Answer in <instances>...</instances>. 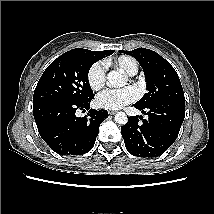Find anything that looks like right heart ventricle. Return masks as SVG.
<instances>
[{
	"label": "right heart ventricle",
	"mask_w": 214,
	"mask_h": 214,
	"mask_svg": "<svg viewBox=\"0 0 214 214\" xmlns=\"http://www.w3.org/2000/svg\"><path fill=\"white\" fill-rule=\"evenodd\" d=\"M115 67L122 70L124 73L132 76L138 72V63L137 61L127 55H121L114 61Z\"/></svg>",
	"instance_id": "obj_1"
}]
</instances>
